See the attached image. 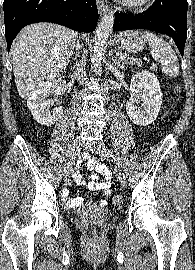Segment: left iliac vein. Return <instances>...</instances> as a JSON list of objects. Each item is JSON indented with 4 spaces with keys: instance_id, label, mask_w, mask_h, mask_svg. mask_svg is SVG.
<instances>
[{
    "instance_id": "4c4485c4",
    "label": "left iliac vein",
    "mask_w": 195,
    "mask_h": 270,
    "mask_svg": "<svg viewBox=\"0 0 195 270\" xmlns=\"http://www.w3.org/2000/svg\"><path fill=\"white\" fill-rule=\"evenodd\" d=\"M91 150L97 153L99 156L110 160V154L104 144H99L98 146L93 147ZM116 174L120 184L125 187L127 183L126 177L119 167H116Z\"/></svg>"
}]
</instances>
